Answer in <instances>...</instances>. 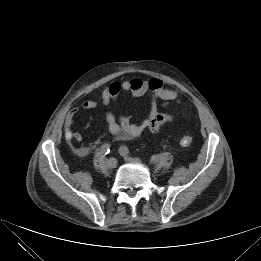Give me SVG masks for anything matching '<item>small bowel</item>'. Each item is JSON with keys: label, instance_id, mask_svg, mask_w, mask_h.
<instances>
[{"label": "small bowel", "instance_id": "c3829d8e", "mask_svg": "<svg viewBox=\"0 0 261 261\" xmlns=\"http://www.w3.org/2000/svg\"><path fill=\"white\" fill-rule=\"evenodd\" d=\"M121 93H131L134 96L150 95V111L148 117L140 123L132 122L123 114H115L107 110L105 120L109 133L118 139L139 138L145 132L155 134L160 127L171 120V116L163 109L170 101L178 97L176 90L165 87L158 78L142 79L134 77L122 81H114L106 86L101 93L102 105L109 108L115 103ZM162 104L159 105L158 102ZM98 102L94 100L84 101L80 107L71 109L64 123L65 137L70 141L80 142L82 136L73 130L74 116L80 110H92L98 108ZM79 156L89 153V147L81 145L74 148Z\"/></svg>", "mask_w": 261, "mask_h": 261}]
</instances>
